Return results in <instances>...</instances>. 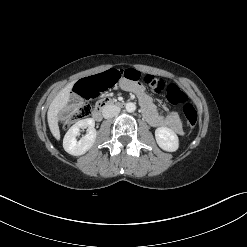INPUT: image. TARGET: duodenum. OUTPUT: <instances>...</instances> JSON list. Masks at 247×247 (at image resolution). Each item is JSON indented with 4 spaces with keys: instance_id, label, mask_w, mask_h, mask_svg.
Here are the masks:
<instances>
[{
    "instance_id": "1",
    "label": "duodenum",
    "mask_w": 247,
    "mask_h": 247,
    "mask_svg": "<svg viewBox=\"0 0 247 247\" xmlns=\"http://www.w3.org/2000/svg\"><path fill=\"white\" fill-rule=\"evenodd\" d=\"M124 105V101H119L115 99H104L97 104L95 110L93 111L92 117L94 120L100 121L103 118V113L106 109L110 107L121 108Z\"/></svg>"
}]
</instances>
